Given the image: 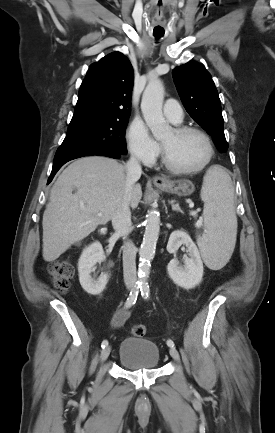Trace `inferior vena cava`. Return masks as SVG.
<instances>
[{"mask_svg": "<svg viewBox=\"0 0 275 433\" xmlns=\"http://www.w3.org/2000/svg\"><path fill=\"white\" fill-rule=\"evenodd\" d=\"M126 170V191L121 204L112 215V226L115 233L126 238L131 232V212L129 208L131 190L135 182L140 178L142 168L135 155H131L125 164ZM136 247L131 241H125L123 245V275L124 282L128 289L136 287Z\"/></svg>", "mask_w": 275, "mask_h": 433, "instance_id": "1", "label": "inferior vena cava"}]
</instances>
